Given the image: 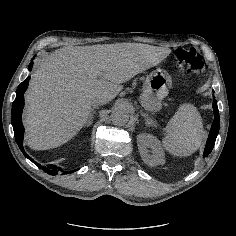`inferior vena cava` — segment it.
<instances>
[{"mask_svg": "<svg viewBox=\"0 0 236 236\" xmlns=\"http://www.w3.org/2000/svg\"><path fill=\"white\" fill-rule=\"evenodd\" d=\"M105 101H106V100L101 99L99 102H100V104H104Z\"/></svg>", "mask_w": 236, "mask_h": 236, "instance_id": "1", "label": "inferior vena cava"}]
</instances>
